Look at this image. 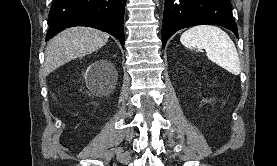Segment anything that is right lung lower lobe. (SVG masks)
<instances>
[{
  "instance_id": "98d812e1",
  "label": "right lung lower lobe",
  "mask_w": 277,
  "mask_h": 166,
  "mask_svg": "<svg viewBox=\"0 0 277 166\" xmlns=\"http://www.w3.org/2000/svg\"><path fill=\"white\" fill-rule=\"evenodd\" d=\"M125 4L126 0H54L46 41L66 28L88 26L113 35L124 46Z\"/></svg>"
}]
</instances>
